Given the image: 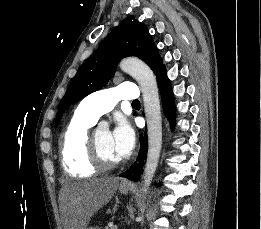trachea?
<instances>
[{
	"instance_id": "trachea-1",
	"label": "trachea",
	"mask_w": 261,
	"mask_h": 229,
	"mask_svg": "<svg viewBox=\"0 0 261 229\" xmlns=\"http://www.w3.org/2000/svg\"><path fill=\"white\" fill-rule=\"evenodd\" d=\"M132 104H140L139 100H133Z\"/></svg>"
}]
</instances>
